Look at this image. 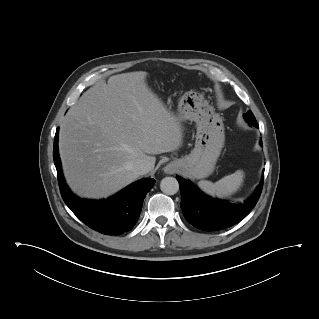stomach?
Masks as SVG:
<instances>
[{"mask_svg": "<svg viewBox=\"0 0 319 319\" xmlns=\"http://www.w3.org/2000/svg\"><path fill=\"white\" fill-rule=\"evenodd\" d=\"M179 121H194L197 127L195 147L190 154L173 160V167L190 179L210 176L224 147L225 133L222 117L204 96L188 91L180 98L177 109Z\"/></svg>", "mask_w": 319, "mask_h": 319, "instance_id": "stomach-1", "label": "stomach"}]
</instances>
